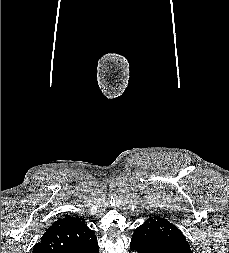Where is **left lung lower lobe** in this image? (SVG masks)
<instances>
[{"instance_id":"1","label":"left lung lower lobe","mask_w":229,"mask_h":253,"mask_svg":"<svg viewBox=\"0 0 229 253\" xmlns=\"http://www.w3.org/2000/svg\"><path fill=\"white\" fill-rule=\"evenodd\" d=\"M130 248L132 251H137L138 253H185L182 251H161V250H155V249H149L142 245L137 244L136 242L131 240Z\"/></svg>"}]
</instances>
